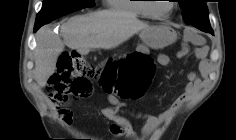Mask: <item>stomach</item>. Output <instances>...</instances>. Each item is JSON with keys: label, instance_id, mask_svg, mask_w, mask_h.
I'll list each match as a JSON object with an SVG mask.
<instances>
[{"label": "stomach", "instance_id": "1", "mask_svg": "<svg viewBox=\"0 0 236 140\" xmlns=\"http://www.w3.org/2000/svg\"><path fill=\"white\" fill-rule=\"evenodd\" d=\"M144 42L151 48L159 49L173 44L177 39L174 29L166 24L150 27L144 33Z\"/></svg>", "mask_w": 236, "mask_h": 140}]
</instances>
